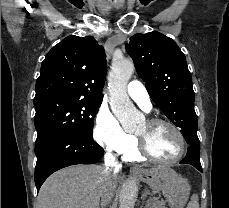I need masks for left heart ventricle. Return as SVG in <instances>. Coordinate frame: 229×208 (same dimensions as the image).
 Returning <instances> with one entry per match:
<instances>
[{"label":"left heart ventricle","instance_id":"1","mask_svg":"<svg viewBox=\"0 0 229 208\" xmlns=\"http://www.w3.org/2000/svg\"><path fill=\"white\" fill-rule=\"evenodd\" d=\"M170 130L174 129L165 125L151 126L145 122L136 134L149 138L146 143L147 152H151V157H158V160H171L179 156L185 147L177 146L174 135L169 134Z\"/></svg>","mask_w":229,"mask_h":208}]
</instances>
